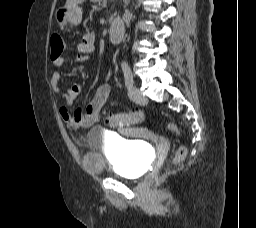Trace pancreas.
<instances>
[{"label":"pancreas","instance_id":"1","mask_svg":"<svg viewBox=\"0 0 256 228\" xmlns=\"http://www.w3.org/2000/svg\"><path fill=\"white\" fill-rule=\"evenodd\" d=\"M94 3L100 2V0H91Z\"/></svg>","mask_w":256,"mask_h":228}]
</instances>
